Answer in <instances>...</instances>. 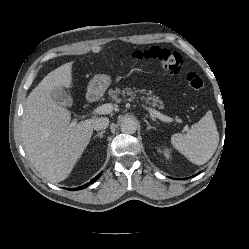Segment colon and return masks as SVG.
<instances>
[{
	"label": "colon",
	"mask_w": 249,
	"mask_h": 249,
	"mask_svg": "<svg viewBox=\"0 0 249 249\" xmlns=\"http://www.w3.org/2000/svg\"><path fill=\"white\" fill-rule=\"evenodd\" d=\"M131 58L134 61L153 63L173 75L178 74L183 65V60L179 53L160 47L137 50L131 55ZM186 82L194 90L203 88V81L195 72H189L186 75Z\"/></svg>",
	"instance_id": "5ec220e1"
}]
</instances>
